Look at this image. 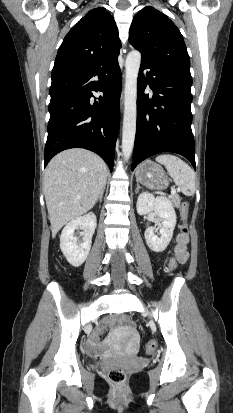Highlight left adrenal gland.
I'll use <instances>...</instances> for the list:
<instances>
[{
	"label": "left adrenal gland",
	"instance_id": "obj_1",
	"mask_svg": "<svg viewBox=\"0 0 233 413\" xmlns=\"http://www.w3.org/2000/svg\"><path fill=\"white\" fill-rule=\"evenodd\" d=\"M139 189H140V185H139V183L137 182V188H136V190H135V193L137 194V192L139 191Z\"/></svg>",
	"mask_w": 233,
	"mask_h": 413
}]
</instances>
